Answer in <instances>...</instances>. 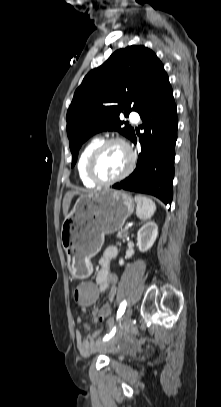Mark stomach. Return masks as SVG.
Returning <instances> with one entry per match:
<instances>
[{
    "mask_svg": "<svg viewBox=\"0 0 221 407\" xmlns=\"http://www.w3.org/2000/svg\"><path fill=\"white\" fill-rule=\"evenodd\" d=\"M134 211L132 197L117 190H104L80 196L61 228V242L68 267L76 278H86L90 259L104 243V237L122 228Z\"/></svg>",
    "mask_w": 221,
    "mask_h": 407,
    "instance_id": "stomach-1",
    "label": "stomach"
}]
</instances>
